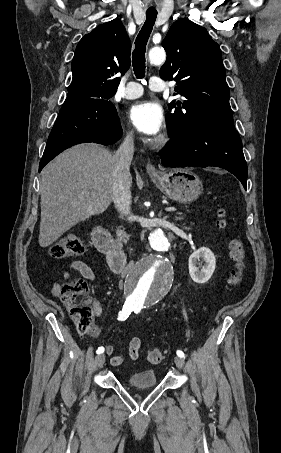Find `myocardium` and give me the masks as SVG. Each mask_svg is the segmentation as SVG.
<instances>
[{
  "instance_id": "obj_1",
  "label": "myocardium",
  "mask_w": 281,
  "mask_h": 453,
  "mask_svg": "<svg viewBox=\"0 0 281 453\" xmlns=\"http://www.w3.org/2000/svg\"><path fill=\"white\" fill-rule=\"evenodd\" d=\"M168 140H169L168 134L163 133L160 136H158L157 138H155L152 143L154 146H162V145L166 144L168 142Z\"/></svg>"
}]
</instances>
